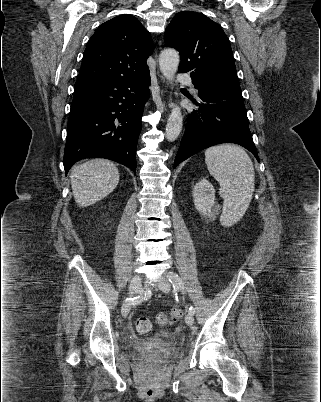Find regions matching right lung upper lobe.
<instances>
[{
	"label": "right lung upper lobe",
	"instance_id": "obj_1",
	"mask_svg": "<svg viewBox=\"0 0 321 402\" xmlns=\"http://www.w3.org/2000/svg\"><path fill=\"white\" fill-rule=\"evenodd\" d=\"M153 52L150 34L131 15L117 16L100 25L90 38L75 86L111 79H126L149 72Z\"/></svg>",
	"mask_w": 321,
	"mask_h": 402
}]
</instances>
